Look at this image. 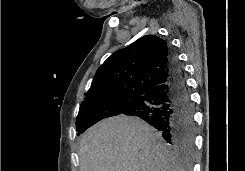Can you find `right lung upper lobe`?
Here are the masks:
<instances>
[{
	"mask_svg": "<svg viewBox=\"0 0 245 171\" xmlns=\"http://www.w3.org/2000/svg\"><path fill=\"white\" fill-rule=\"evenodd\" d=\"M168 56L169 45L165 40L155 35L139 38L114 52L98 68L84 101L144 95L168 80Z\"/></svg>",
	"mask_w": 245,
	"mask_h": 171,
	"instance_id": "right-lung-upper-lobe-1",
	"label": "right lung upper lobe"
}]
</instances>
